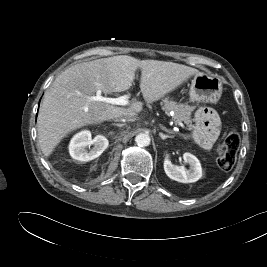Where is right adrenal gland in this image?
I'll list each match as a JSON object with an SVG mask.
<instances>
[{"label": "right adrenal gland", "instance_id": "1", "mask_svg": "<svg viewBox=\"0 0 267 267\" xmlns=\"http://www.w3.org/2000/svg\"><path fill=\"white\" fill-rule=\"evenodd\" d=\"M112 125H114V126H117V127H123L125 124H119V123H113Z\"/></svg>", "mask_w": 267, "mask_h": 267}]
</instances>
